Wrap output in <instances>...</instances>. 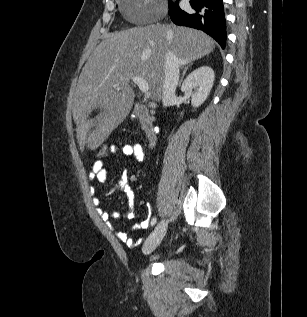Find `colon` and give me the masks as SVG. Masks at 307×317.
Listing matches in <instances>:
<instances>
[{
    "label": "colon",
    "instance_id": "5ec220e1",
    "mask_svg": "<svg viewBox=\"0 0 307 317\" xmlns=\"http://www.w3.org/2000/svg\"><path fill=\"white\" fill-rule=\"evenodd\" d=\"M114 145H101L96 151L97 161L105 162L112 153Z\"/></svg>",
    "mask_w": 307,
    "mask_h": 317
}]
</instances>
